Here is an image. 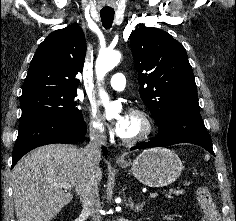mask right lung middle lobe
Returning <instances> with one entry per match:
<instances>
[{
    "label": "right lung middle lobe",
    "mask_w": 236,
    "mask_h": 221,
    "mask_svg": "<svg viewBox=\"0 0 236 221\" xmlns=\"http://www.w3.org/2000/svg\"><path fill=\"white\" fill-rule=\"evenodd\" d=\"M77 91L40 89L21 96L22 116L37 112H55L59 114L82 116L75 97Z\"/></svg>",
    "instance_id": "1"
}]
</instances>
